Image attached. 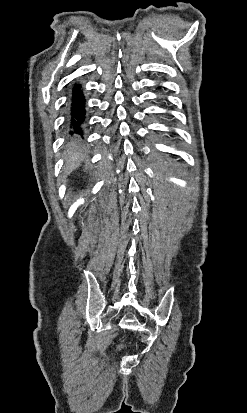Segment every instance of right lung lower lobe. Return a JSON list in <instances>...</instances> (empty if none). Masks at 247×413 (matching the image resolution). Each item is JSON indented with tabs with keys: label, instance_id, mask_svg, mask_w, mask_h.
I'll return each mask as SVG.
<instances>
[{
	"label": "right lung lower lobe",
	"instance_id": "1",
	"mask_svg": "<svg viewBox=\"0 0 247 413\" xmlns=\"http://www.w3.org/2000/svg\"><path fill=\"white\" fill-rule=\"evenodd\" d=\"M71 124L73 131H70V134H82L80 123L84 120V98L80 86L77 85L73 88L72 95V107H71Z\"/></svg>",
	"mask_w": 247,
	"mask_h": 413
}]
</instances>
